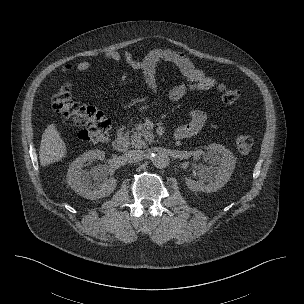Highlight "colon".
Here are the masks:
<instances>
[{
  "label": "colon",
  "instance_id": "5ec220e1",
  "mask_svg": "<svg viewBox=\"0 0 304 304\" xmlns=\"http://www.w3.org/2000/svg\"><path fill=\"white\" fill-rule=\"evenodd\" d=\"M221 98L225 105H234L240 96L239 91L228 85L219 86ZM52 108L66 119L78 121L81 129L78 138L86 142H105L109 138L111 121L103 112L92 106L81 105L71 95V85L64 83L55 88L52 95ZM234 144L241 153H248L253 146V139L246 134L236 135Z\"/></svg>",
  "mask_w": 304,
  "mask_h": 304
}]
</instances>
